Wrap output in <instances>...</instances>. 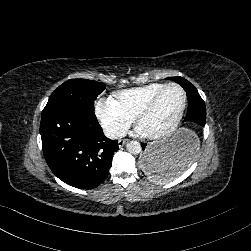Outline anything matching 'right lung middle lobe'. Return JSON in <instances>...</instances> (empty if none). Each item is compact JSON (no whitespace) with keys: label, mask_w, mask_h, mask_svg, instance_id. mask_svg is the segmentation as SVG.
<instances>
[{"label":"right lung middle lobe","mask_w":251,"mask_h":251,"mask_svg":"<svg viewBox=\"0 0 251 251\" xmlns=\"http://www.w3.org/2000/svg\"><path fill=\"white\" fill-rule=\"evenodd\" d=\"M105 87L103 83L92 80H68L54 90L46 107L74 106L94 111V101Z\"/></svg>","instance_id":"1"}]
</instances>
